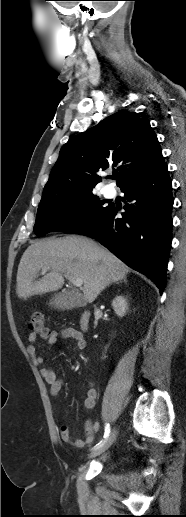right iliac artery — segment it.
<instances>
[{"label": "right iliac artery", "mask_w": 186, "mask_h": 517, "mask_svg": "<svg viewBox=\"0 0 186 517\" xmlns=\"http://www.w3.org/2000/svg\"><path fill=\"white\" fill-rule=\"evenodd\" d=\"M109 434H110V425L106 424V426H105V433H104L105 440L108 438ZM101 443H102V441L98 445L101 446L102 445Z\"/></svg>", "instance_id": "right-iliac-artery-1"}]
</instances>
